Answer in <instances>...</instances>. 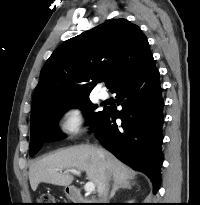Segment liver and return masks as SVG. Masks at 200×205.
I'll use <instances>...</instances> for the list:
<instances>
[{
  "label": "liver",
  "instance_id": "1",
  "mask_svg": "<svg viewBox=\"0 0 200 205\" xmlns=\"http://www.w3.org/2000/svg\"><path fill=\"white\" fill-rule=\"evenodd\" d=\"M71 169L86 172L87 179L98 190L108 177L119 183H129L131 179V170L107 150L78 145L33 162L29 169L32 190L35 191L41 182L69 186L74 179L68 172Z\"/></svg>",
  "mask_w": 200,
  "mask_h": 205
}]
</instances>
